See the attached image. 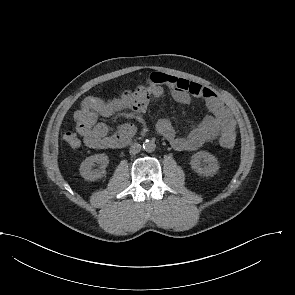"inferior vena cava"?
<instances>
[{
    "label": "inferior vena cava",
    "instance_id": "inferior-vena-cava-1",
    "mask_svg": "<svg viewBox=\"0 0 295 295\" xmlns=\"http://www.w3.org/2000/svg\"><path fill=\"white\" fill-rule=\"evenodd\" d=\"M141 150V145L138 143H134L132 144L131 148H130V154L135 155L137 153H139Z\"/></svg>",
    "mask_w": 295,
    "mask_h": 295
}]
</instances>
